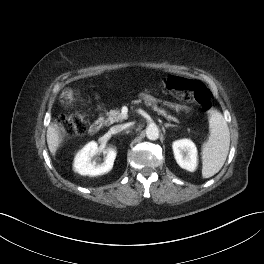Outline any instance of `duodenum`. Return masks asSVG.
Listing matches in <instances>:
<instances>
[{
    "instance_id": "1",
    "label": "duodenum",
    "mask_w": 264,
    "mask_h": 264,
    "mask_svg": "<svg viewBox=\"0 0 264 264\" xmlns=\"http://www.w3.org/2000/svg\"><path fill=\"white\" fill-rule=\"evenodd\" d=\"M103 125V120L102 118H97L89 127V134L90 135H95L98 133V131L100 130V128Z\"/></svg>"
}]
</instances>
